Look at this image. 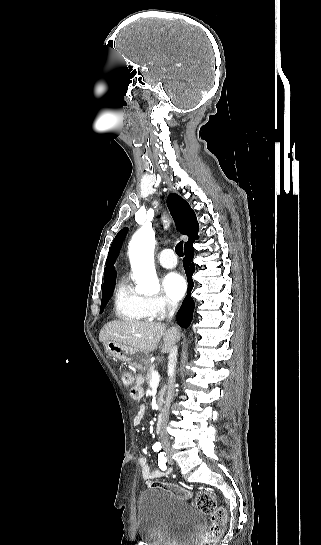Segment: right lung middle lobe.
<instances>
[{"mask_svg": "<svg viewBox=\"0 0 321 545\" xmlns=\"http://www.w3.org/2000/svg\"><path fill=\"white\" fill-rule=\"evenodd\" d=\"M113 290H114V286L103 289V296H102V303H101L100 313L103 312L109 298L111 297V295L113 293Z\"/></svg>", "mask_w": 321, "mask_h": 545, "instance_id": "1", "label": "right lung middle lobe"}]
</instances>
